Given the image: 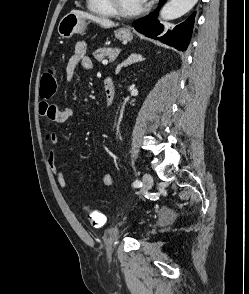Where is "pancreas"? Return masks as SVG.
Masks as SVG:
<instances>
[{"label": "pancreas", "instance_id": "obj_1", "mask_svg": "<svg viewBox=\"0 0 249 294\" xmlns=\"http://www.w3.org/2000/svg\"><path fill=\"white\" fill-rule=\"evenodd\" d=\"M119 49L116 48H100L93 55L97 61H102L106 57L117 56Z\"/></svg>", "mask_w": 249, "mask_h": 294}]
</instances>
